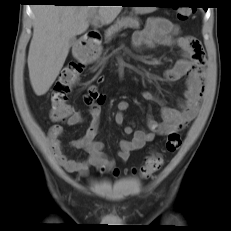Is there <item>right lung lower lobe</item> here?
Instances as JSON below:
<instances>
[{"mask_svg": "<svg viewBox=\"0 0 231 231\" xmlns=\"http://www.w3.org/2000/svg\"><path fill=\"white\" fill-rule=\"evenodd\" d=\"M32 3H54L55 5H79L72 0H29Z\"/></svg>", "mask_w": 231, "mask_h": 231, "instance_id": "1", "label": "right lung lower lobe"}]
</instances>
